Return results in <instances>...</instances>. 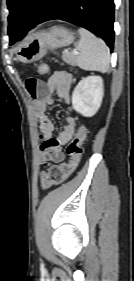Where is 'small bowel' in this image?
I'll list each match as a JSON object with an SVG mask.
<instances>
[{
  "label": "small bowel",
  "instance_id": "c3829d8e",
  "mask_svg": "<svg viewBox=\"0 0 134 281\" xmlns=\"http://www.w3.org/2000/svg\"><path fill=\"white\" fill-rule=\"evenodd\" d=\"M71 82L72 78L68 73L55 72L45 82L29 78L25 83L37 111V123L41 132L40 157L44 164H58L64 160L63 146L75 132L76 120L73 116H68L63 129L54 134V124L46 113L48 107L54 103V96L66 105L70 104Z\"/></svg>",
  "mask_w": 134,
  "mask_h": 281
}]
</instances>
